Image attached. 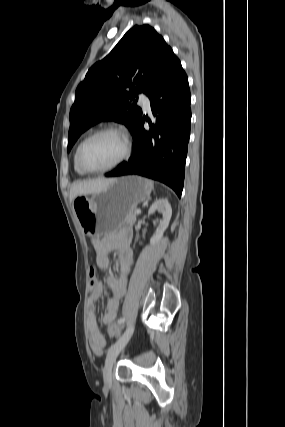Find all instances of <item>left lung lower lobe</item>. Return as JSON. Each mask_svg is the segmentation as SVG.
<instances>
[{
    "label": "left lung lower lobe",
    "mask_w": 285,
    "mask_h": 427,
    "mask_svg": "<svg viewBox=\"0 0 285 427\" xmlns=\"http://www.w3.org/2000/svg\"><path fill=\"white\" fill-rule=\"evenodd\" d=\"M146 95L154 122L149 121L150 129L145 130V118L141 116L133 131V155L105 176L138 174L165 183L180 197L190 136L191 97L187 75L173 51Z\"/></svg>",
    "instance_id": "obj_1"
}]
</instances>
